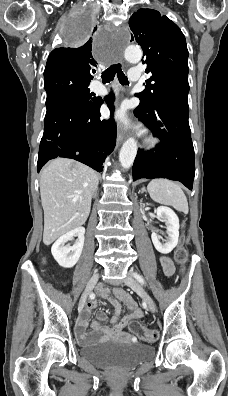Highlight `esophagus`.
<instances>
[{
  "mask_svg": "<svg viewBox=\"0 0 228 396\" xmlns=\"http://www.w3.org/2000/svg\"><path fill=\"white\" fill-rule=\"evenodd\" d=\"M125 139V133L122 130H118L117 132V146H119L123 140Z\"/></svg>",
  "mask_w": 228,
  "mask_h": 396,
  "instance_id": "34e87169",
  "label": "esophagus"
}]
</instances>
